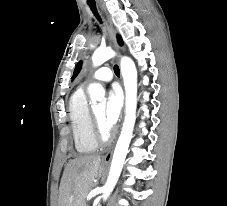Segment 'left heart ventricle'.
Here are the masks:
<instances>
[{"mask_svg": "<svg viewBox=\"0 0 227 206\" xmlns=\"http://www.w3.org/2000/svg\"><path fill=\"white\" fill-rule=\"evenodd\" d=\"M104 109H105V106L103 103H100L98 105H96L93 109L96 117H97V120L102 128V130L104 132H107V128L105 127L104 123H103V115H104Z\"/></svg>", "mask_w": 227, "mask_h": 206, "instance_id": "left-heart-ventricle-1", "label": "left heart ventricle"}]
</instances>
